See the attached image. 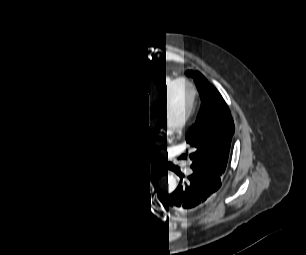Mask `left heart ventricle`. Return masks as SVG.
Here are the masks:
<instances>
[{
  "label": "left heart ventricle",
  "instance_id": "1",
  "mask_svg": "<svg viewBox=\"0 0 306 255\" xmlns=\"http://www.w3.org/2000/svg\"><path fill=\"white\" fill-rule=\"evenodd\" d=\"M190 92L186 87H180L175 92L170 102L167 116L171 120L179 119L186 111L189 103Z\"/></svg>",
  "mask_w": 306,
  "mask_h": 255
}]
</instances>
